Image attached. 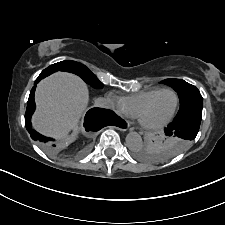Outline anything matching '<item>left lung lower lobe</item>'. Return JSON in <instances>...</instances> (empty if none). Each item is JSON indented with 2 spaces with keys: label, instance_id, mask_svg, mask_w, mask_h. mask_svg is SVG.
<instances>
[{
  "label": "left lung lower lobe",
  "instance_id": "0a47b994",
  "mask_svg": "<svg viewBox=\"0 0 225 225\" xmlns=\"http://www.w3.org/2000/svg\"><path fill=\"white\" fill-rule=\"evenodd\" d=\"M202 119V110L195 109L185 112L181 115H177L172 123L165 128L164 132L166 136H176L187 141H192L200 127ZM185 144H177L175 145V149L178 152L184 150Z\"/></svg>",
  "mask_w": 225,
  "mask_h": 225
}]
</instances>
